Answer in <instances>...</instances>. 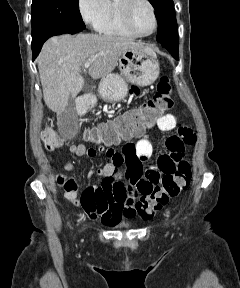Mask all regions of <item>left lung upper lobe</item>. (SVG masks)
<instances>
[{
    "label": "left lung upper lobe",
    "mask_w": 240,
    "mask_h": 288,
    "mask_svg": "<svg viewBox=\"0 0 240 288\" xmlns=\"http://www.w3.org/2000/svg\"><path fill=\"white\" fill-rule=\"evenodd\" d=\"M149 2L155 9L159 26L157 41L179 44L173 0H149Z\"/></svg>",
    "instance_id": "left-lung-upper-lobe-1"
}]
</instances>
